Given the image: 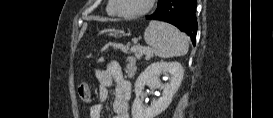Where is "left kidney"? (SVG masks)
I'll list each match as a JSON object with an SVG mask.
<instances>
[{
  "instance_id": "1",
  "label": "left kidney",
  "mask_w": 273,
  "mask_h": 118,
  "mask_svg": "<svg viewBox=\"0 0 273 118\" xmlns=\"http://www.w3.org/2000/svg\"><path fill=\"white\" fill-rule=\"evenodd\" d=\"M161 74L169 76V83H160L158 76ZM183 76L184 70L179 62H156L148 66L135 82L136 98L132 105V118H155L167 109L181 85ZM145 85L163 90L161 97L153 100L149 107L143 105L140 99Z\"/></svg>"
}]
</instances>
